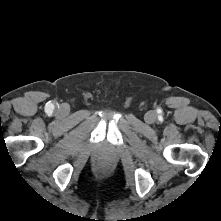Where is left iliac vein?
<instances>
[{
	"label": "left iliac vein",
	"mask_w": 221,
	"mask_h": 221,
	"mask_svg": "<svg viewBox=\"0 0 221 221\" xmlns=\"http://www.w3.org/2000/svg\"><path fill=\"white\" fill-rule=\"evenodd\" d=\"M156 119V114L153 111H149L145 115V121L149 124L153 123Z\"/></svg>",
	"instance_id": "1"
}]
</instances>
